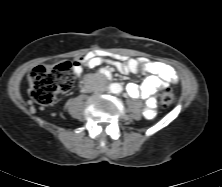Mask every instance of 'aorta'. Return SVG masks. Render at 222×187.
<instances>
[{
    "label": "aorta",
    "mask_w": 222,
    "mask_h": 187,
    "mask_svg": "<svg viewBox=\"0 0 222 187\" xmlns=\"http://www.w3.org/2000/svg\"><path fill=\"white\" fill-rule=\"evenodd\" d=\"M110 91L112 93H120L122 91V86L119 83H114L110 86Z\"/></svg>",
    "instance_id": "aorta-1"
}]
</instances>
